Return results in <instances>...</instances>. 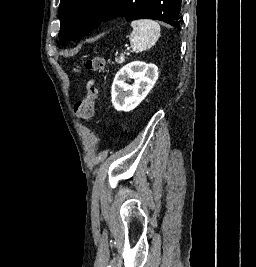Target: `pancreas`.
I'll return each mask as SVG.
<instances>
[{
	"mask_svg": "<svg viewBox=\"0 0 256 267\" xmlns=\"http://www.w3.org/2000/svg\"><path fill=\"white\" fill-rule=\"evenodd\" d=\"M115 62H117V64H123V62H125L124 54H121V56H119V58H117V60H115Z\"/></svg>",
	"mask_w": 256,
	"mask_h": 267,
	"instance_id": "pancreas-1",
	"label": "pancreas"
}]
</instances>
